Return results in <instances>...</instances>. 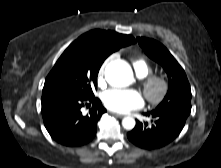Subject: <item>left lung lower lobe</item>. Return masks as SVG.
I'll return each instance as SVG.
<instances>
[{
	"label": "left lung lower lobe",
	"mask_w": 221,
	"mask_h": 168,
	"mask_svg": "<svg viewBox=\"0 0 221 168\" xmlns=\"http://www.w3.org/2000/svg\"><path fill=\"white\" fill-rule=\"evenodd\" d=\"M190 112L183 110H168L147 112L155 120L150 125L147 122L136 121L133 130L127 133L128 139L143 149H157L172 142L183 129Z\"/></svg>",
	"instance_id": "obj_1"
}]
</instances>
